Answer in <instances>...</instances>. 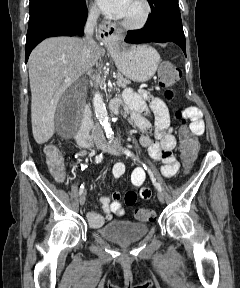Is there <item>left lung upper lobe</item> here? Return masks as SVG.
<instances>
[{
    "label": "left lung upper lobe",
    "instance_id": "obj_1",
    "mask_svg": "<svg viewBox=\"0 0 240 288\" xmlns=\"http://www.w3.org/2000/svg\"><path fill=\"white\" fill-rule=\"evenodd\" d=\"M151 10H155L157 8V6L162 3V2H167L170 4H173L175 6H178V0H148Z\"/></svg>",
    "mask_w": 240,
    "mask_h": 288
}]
</instances>
